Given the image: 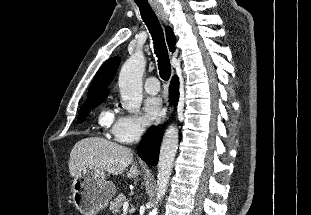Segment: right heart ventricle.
<instances>
[{
	"label": "right heart ventricle",
	"instance_id": "1",
	"mask_svg": "<svg viewBox=\"0 0 311 215\" xmlns=\"http://www.w3.org/2000/svg\"><path fill=\"white\" fill-rule=\"evenodd\" d=\"M111 115H112L111 112L108 111V110L102 111L101 114H100V117H99L100 122L103 123V121H104L106 118L110 117Z\"/></svg>",
	"mask_w": 311,
	"mask_h": 215
}]
</instances>
